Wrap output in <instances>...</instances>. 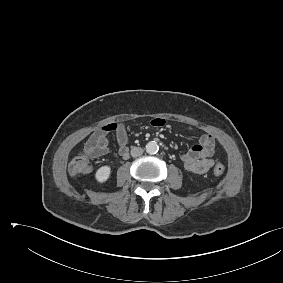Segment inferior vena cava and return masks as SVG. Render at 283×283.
I'll return each instance as SVG.
<instances>
[{"mask_svg":"<svg viewBox=\"0 0 283 283\" xmlns=\"http://www.w3.org/2000/svg\"><path fill=\"white\" fill-rule=\"evenodd\" d=\"M144 150L140 147H134L131 149V156L132 157H138L143 154Z\"/></svg>","mask_w":283,"mask_h":283,"instance_id":"602c4592","label":"inferior vena cava"}]
</instances>
